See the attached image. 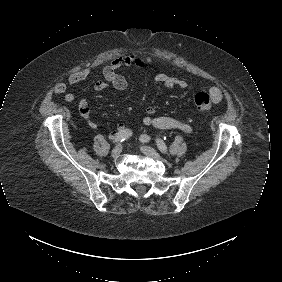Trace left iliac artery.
Wrapping results in <instances>:
<instances>
[{"label":"left iliac artery","mask_w":282,"mask_h":282,"mask_svg":"<svg viewBox=\"0 0 282 282\" xmlns=\"http://www.w3.org/2000/svg\"><path fill=\"white\" fill-rule=\"evenodd\" d=\"M140 141L143 143L149 142L151 140L150 136H148L147 134H142L140 136ZM156 144L158 149L162 152V153H166L167 152V146L166 144L163 142V140L157 138L156 140Z\"/></svg>","instance_id":"obj_1"}]
</instances>
